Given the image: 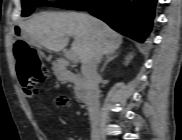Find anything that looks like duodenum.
<instances>
[{
    "instance_id": "obj_1",
    "label": "duodenum",
    "mask_w": 182,
    "mask_h": 140,
    "mask_svg": "<svg viewBox=\"0 0 182 140\" xmlns=\"http://www.w3.org/2000/svg\"><path fill=\"white\" fill-rule=\"evenodd\" d=\"M76 78L78 79V84L75 90L76 98L82 103H87L89 100L87 89L85 88L84 84L80 81L79 75H77Z\"/></svg>"
}]
</instances>
